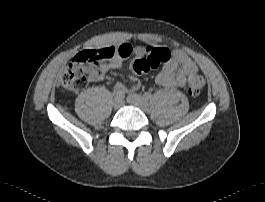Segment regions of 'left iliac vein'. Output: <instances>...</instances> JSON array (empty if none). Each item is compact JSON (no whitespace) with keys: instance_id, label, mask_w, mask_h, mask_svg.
I'll return each mask as SVG.
<instances>
[{"instance_id":"4c4485c4","label":"left iliac vein","mask_w":265,"mask_h":202,"mask_svg":"<svg viewBox=\"0 0 265 202\" xmlns=\"http://www.w3.org/2000/svg\"><path fill=\"white\" fill-rule=\"evenodd\" d=\"M127 102L130 105L141 109L142 111H147L149 108L147 100L143 96L136 93H129L127 96Z\"/></svg>"}]
</instances>
